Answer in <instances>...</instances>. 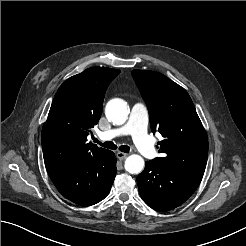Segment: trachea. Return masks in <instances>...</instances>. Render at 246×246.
<instances>
[{"instance_id": "1", "label": "trachea", "mask_w": 246, "mask_h": 246, "mask_svg": "<svg viewBox=\"0 0 246 246\" xmlns=\"http://www.w3.org/2000/svg\"><path fill=\"white\" fill-rule=\"evenodd\" d=\"M93 139H94V142L98 143L99 145H101L104 148H108V149H112V150H115V149L118 148L113 142H104V143H102L96 138H93ZM119 150L122 151V152H125V153H129L130 147L127 146V145H121L119 147Z\"/></svg>"}]
</instances>
